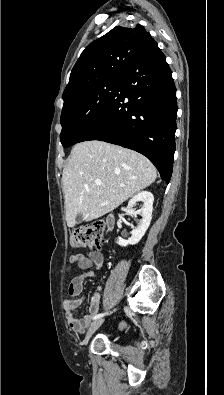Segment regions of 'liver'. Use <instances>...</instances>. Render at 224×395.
<instances>
[{
    "label": "liver",
    "instance_id": "6515ba94",
    "mask_svg": "<svg viewBox=\"0 0 224 395\" xmlns=\"http://www.w3.org/2000/svg\"><path fill=\"white\" fill-rule=\"evenodd\" d=\"M156 178L154 165L135 151L97 140L76 144L62 173L67 226L79 212L91 221L113 211Z\"/></svg>",
    "mask_w": 224,
    "mask_h": 395
}]
</instances>
